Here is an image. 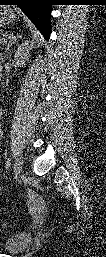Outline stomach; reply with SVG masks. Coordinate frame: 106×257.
Wrapping results in <instances>:
<instances>
[{
	"mask_svg": "<svg viewBox=\"0 0 106 257\" xmlns=\"http://www.w3.org/2000/svg\"><path fill=\"white\" fill-rule=\"evenodd\" d=\"M0 14V24L2 26L10 24L16 18V15L14 14L13 10L8 6H2Z\"/></svg>",
	"mask_w": 106,
	"mask_h": 257,
	"instance_id": "0dacf381",
	"label": "stomach"
}]
</instances>
